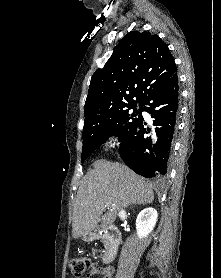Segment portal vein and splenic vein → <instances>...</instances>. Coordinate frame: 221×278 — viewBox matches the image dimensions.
<instances>
[{"instance_id":"1","label":"portal vein and splenic vein","mask_w":221,"mask_h":278,"mask_svg":"<svg viewBox=\"0 0 221 278\" xmlns=\"http://www.w3.org/2000/svg\"><path fill=\"white\" fill-rule=\"evenodd\" d=\"M106 207L109 208V207H110V204H106Z\"/></svg>"}]
</instances>
